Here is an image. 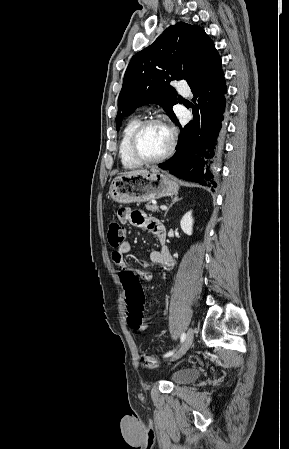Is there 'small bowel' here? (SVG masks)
<instances>
[{
    "label": "small bowel",
    "instance_id": "small-bowel-1",
    "mask_svg": "<svg viewBox=\"0 0 289 449\" xmlns=\"http://www.w3.org/2000/svg\"><path fill=\"white\" fill-rule=\"evenodd\" d=\"M118 216L121 221L129 223L133 226L145 228L149 230L158 240L160 248L158 250H152L149 253L150 261L162 267L166 271H170L174 267V261L165 246L166 241V231L162 223L157 219L147 216L143 211L132 210L129 208H122L118 211ZM132 245L129 242L122 243L118 248H116L112 254V261L122 268H129L131 271L135 272V276L146 281H150L153 275L148 270L137 269L129 266L125 260V255L132 251ZM146 326H142L141 330H145Z\"/></svg>",
    "mask_w": 289,
    "mask_h": 449
}]
</instances>
